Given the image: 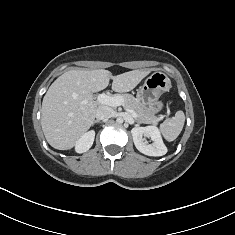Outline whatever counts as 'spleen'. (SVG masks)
Wrapping results in <instances>:
<instances>
[{"label": "spleen", "mask_w": 235, "mask_h": 235, "mask_svg": "<svg viewBox=\"0 0 235 235\" xmlns=\"http://www.w3.org/2000/svg\"><path fill=\"white\" fill-rule=\"evenodd\" d=\"M184 122L185 115L183 111H177L174 117L160 125V130L164 138L169 142L174 141L181 133Z\"/></svg>", "instance_id": "obj_1"}]
</instances>
